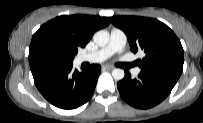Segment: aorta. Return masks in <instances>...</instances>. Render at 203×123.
<instances>
[{
    "mask_svg": "<svg viewBox=\"0 0 203 123\" xmlns=\"http://www.w3.org/2000/svg\"><path fill=\"white\" fill-rule=\"evenodd\" d=\"M109 39L110 35L106 30H99L93 36L94 42L100 47L106 46ZM112 76L115 80H122L125 76L124 70L121 68H116L112 71Z\"/></svg>",
    "mask_w": 203,
    "mask_h": 123,
    "instance_id": "obj_1",
    "label": "aorta"
}]
</instances>
